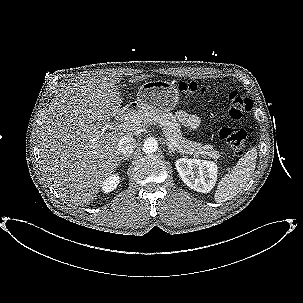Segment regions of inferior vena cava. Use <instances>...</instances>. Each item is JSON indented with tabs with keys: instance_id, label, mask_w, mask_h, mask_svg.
Wrapping results in <instances>:
<instances>
[{
	"instance_id": "1",
	"label": "inferior vena cava",
	"mask_w": 303,
	"mask_h": 303,
	"mask_svg": "<svg viewBox=\"0 0 303 303\" xmlns=\"http://www.w3.org/2000/svg\"><path fill=\"white\" fill-rule=\"evenodd\" d=\"M136 141L132 136L124 135L118 142V150L124 155H130L135 149Z\"/></svg>"
}]
</instances>
